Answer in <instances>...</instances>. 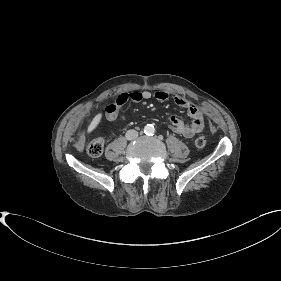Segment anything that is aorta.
I'll list each match as a JSON object with an SVG mask.
<instances>
[{
    "instance_id": "762f6f07",
    "label": "aorta",
    "mask_w": 281,
    "mask_h": 281,
    "mask_svg": "<svg viewBox=\"0 0 281 281\" xmlns=\"http://www.w3.org/2000/svg\"><path fill=\"white\" fill-rule=\"evenodd\" d=\"M155 132V128L152 124H147L144 127V133L147 135H152Z\"/></svg>"
}]
</instances>
